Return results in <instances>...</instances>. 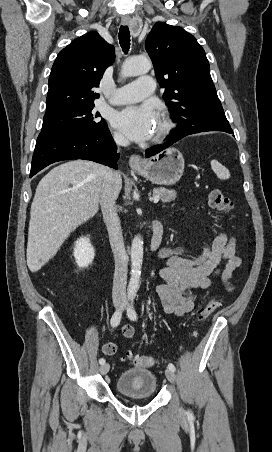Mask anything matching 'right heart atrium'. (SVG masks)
<instances>
[{
	"label": "right heart atrium",
	"instance_id": "d8ad5b80",
	"mask_svg": "<svg viewBox=\"0 0 272 452\" xmlns=\"http://www.w3.org/2000/svg\"><path fill=\"white\" fill-rule=\"evenodd\" d=\"M113 137H114V140L119 144H123L125 142V138L119 132H114Z\"/></svg>",
	"mask_w": 272,
	"mask_h": 452
}]
</instances>
